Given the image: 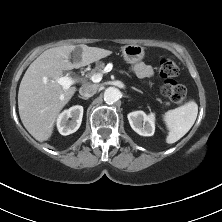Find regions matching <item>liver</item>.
I'll return each mask as SVG.
<instances>
[{
  "instance_id": "liver-1",
  "label": "liver",
  "mask_w": 222,
  "mask_h": 222,
  "mask_svg": "<svg viewBox=\"0 0 222 222\" xmlns=\"http://www.w3.org/2000/svg\"><path fill=\"white\" fill-rule=\"evenodd\" d=\"M77 47L81 51L72 63L69 57ZM111 53L84 44L64 45L44 51L30 64L19 86L18 108L24 127L36 140L42 142L51 137L58 114L77 90L74 86L64 90L56 82L63 71L89 65Z\"/></svg>"
}]
</instances>
